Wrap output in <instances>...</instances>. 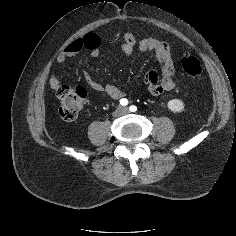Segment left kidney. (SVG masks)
<instances>
[{"label":"left kidney","mask_w":236,"mask_h":236,"mask_svg":"<svg viewBox=\"0 0 236 236\" xmlns=\"http://www.w3.org/2000/svg\"><path fill=\"white\" fill-rule=\"evenodd\" d=\"M167 107L169 110H171L173 113H180L184 111V103L180 99H172L168 101Z\"/></svg>","instance_id":"left-kidney-1"}]
</instances>
